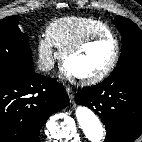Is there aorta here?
<instances>
[{"label": "aorta", "mask_w": 142, "mask_h": 142, "mask_svg": "<svg viewBox=\"0 0 142 142\" xmlns=\"http://www.w3.org/2000/svg\"><path fill=\"white\" fill-rule=\"evenodd\" d=\"M75 115L86 138L91 142H101L104 130L96 114L86 106H78Z\"/></svg>", "instance_id": "1"}]
</instances>
